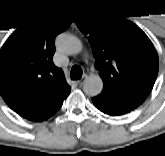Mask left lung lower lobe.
Returning a JSON list of instances; mask_svg holds the SVG:
<instances>
[{
  "instance_id": "1",
  "label": "left lung lower lobe",
  "mask_w": 165,
  "mask_h": 156,
  "mask_svg": "<svg viewBox=\"0 0 165 156\" xmlns=\"http://www.w3.org/2000/svg\"><path fill=\"white\" fill-rule=\"evenodd\" d=\"M92 101L96 108L111 116L124 115L132 111L119 103L114 102L104 94H99L98 96L93 97Z\"/></svg>"
}]
</instances>
